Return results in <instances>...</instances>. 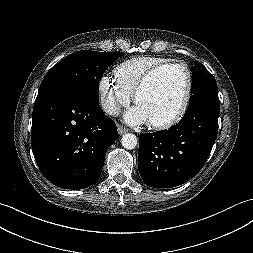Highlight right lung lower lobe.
Here are the masks:
<instances>
[{"instance_id": "right-lung-lower-lobe-1", "label": "right lung lower lobe", "mask_w": 253, "mask_h": 253, "mask_svg": "<svg viewBox=\"0 0 253 253\" xmlns=\"http://www.w3.org/2000/svg\"><path fill=\"white\" fill-rule=\"evenodd\" d=\"M118 139L115 123L98 105L50 92L36 98L31 146L43 176L65 189H83L99 177L108 148Z\"/></svg>"}]
</instances>
